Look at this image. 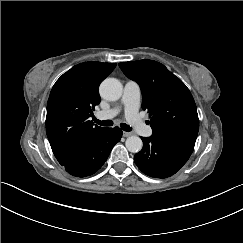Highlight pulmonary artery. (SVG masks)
Returning a JSON list of instances; mask_svg holds the SVG:
<instances>
[{
  "label": "pulmonary artery",
  "instance_id": "1",
  "mask_svg": "<svg viewBox=\"0 0 243 243\" xmlns=\"http://www.w3.org/2000/svg\"><path fill=\"white\" fill-rule=\"evenodd\" d=\"M141 101V87L138 82L134 80H127L123 86V93L119 106L95 112V117L99 120H108L114 118L121 111L124 112L125 118L130 123H137L141 120L139 113ZM146 136L153 135V128L149 125L146 127Z\"/></svg>",
  "mask_w": 243,
  "mask_h": 243
}]
</instances>
